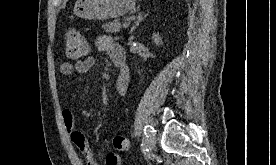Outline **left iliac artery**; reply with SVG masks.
I'll list each match as a JSON object with an SVG mask.
<instances>
[{"instance_id":"44dca946","label":"left iliac artery","mask_w":276,"mask_h":165,"mask_svg":"<svg viewBox=\"0 0 276 165\" xmlns=\"http://www.w3.org/2000/svg\"><path fill=\"white\" fill-rule=\"evenodd\" d=\"M154 131L155 130L153 129L152 126H149V125L145 126L144 136H143L142 143H141V147H142L143 151H148L149 138L151 137V135Z\"/></svg>"}]
</instances>
